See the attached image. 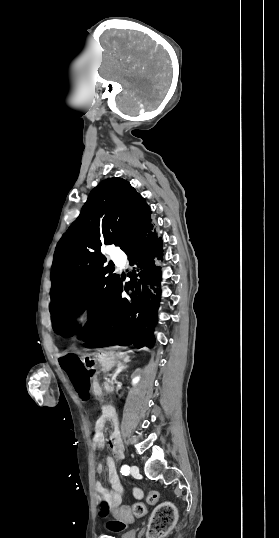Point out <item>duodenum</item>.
<instances>
[{"label":"duodenum","mask_w":279,"mask_h":538,"mask_svg":"<svg viewBox=\"0 0 279 538\" xmlns=\"http://www.w3.org/2000/svg\"><path fill=\"white\" fill-rule=\"evenodd\" d=\"M89 376L91 378H94V381L92 382V385L94 387H97L99 385V382L97 381V378H95L97 376V373L95 371H91L89 373ZM101 410H102V413L104 415H110L112 413V405H108V404L101 405Z\"/></svg>","instance_id":"duodenum-1"}]
</instances>
